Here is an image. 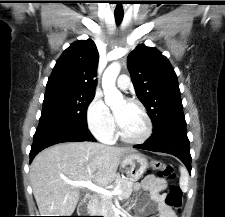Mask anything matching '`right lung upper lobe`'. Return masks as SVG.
<instances>
[{"label":"right lung upper lobe","instance_id":"right-lung-upper-lobe-1","mask_svg":"<svg viewBox=\"0 0 225 217\" xmlns=\"http://www.w3.org/2000/svg\"><path fill=\"white\" fill-rule=\"evenodd\" d=\"M99 54L92 40L76 41L56 62L46 85V93L95 94Z\"/></svg>","mask_w":225,"mask_h":217}]
</instances>
